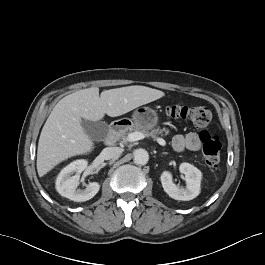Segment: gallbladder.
<instances>
[{
    "label": "gallbladder",
    "instance_id": "gallbladder-1",
    "mask_svg": "<svg viewBox=\"0 0 265 265\" xmlns=\"http://www.w3.org/2000/svg\"><path fill=\"white\" fill-rule=\"evenodd\" d=\"M82 126L92 140H103L108 133V125L103 121L83 120Z\"/></svg>",
    "mask_w": 265,
    "mask_h": 265
}]
</instances>
